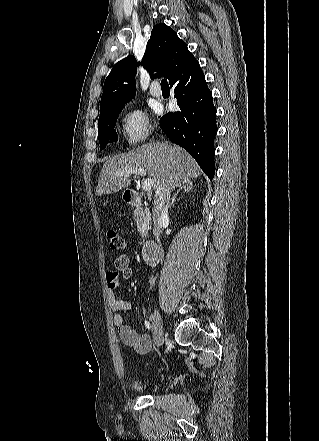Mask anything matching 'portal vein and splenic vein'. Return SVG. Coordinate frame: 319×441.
<instances>
[{"instance_id":"portal-vein-and-splenic-vein-1","label":"portal vein and splenic vein","mask_w":319,"mask_h":441,"mask_svg":"<svg viewBox=\"0 0 319 441\" xmlns=\"http://www.w3.org/2000/svg\"><path fill=\"white\" fill-rule=\"evenodd\" d=\"M124 174H135V175H141V176H145L146 175V170L144 168H128L122 171H119L116 173V175L120 176V175H124ZM152 179L151 178H146L143 180L142 182V189L144 191H150L152 188Z\"/></svg>"}]
</instances>
